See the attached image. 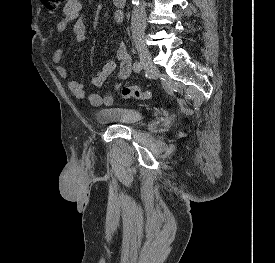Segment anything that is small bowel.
I'll return each instance as SVG.
<instances>
[{"label":"small bowel","mask_w":275,"mask_h":263,"mask_svg":"<svg viewBox=\"0 0 275 263\" xmlns=\"http://www.w3.org/2000/svg\"><path fill=\"white\" fill-rule=\"evenodd\" d=\"M123 20L121 11L116 10L113 13V21L120 24ZM71 25L72 33L78 42H83L86 38V27L82 18V4L80 0H67L63 7V17L57 24L56 30L59 34L66 31ZM63 51L58 47L53 55L52 60L57 64V73L63 79H68L69 73L67 68L61 64ZM118 66L117 77L113 82V89L118 90L122 82L127 79L132 72L131 57L128 53L126 45L120 44L116 51V60H108L96 74L91 78L90 82L94 87L103 86L107 78L115 71ZM67 85L72 94L78 99H87L94 107L111 106L113 104V95L110 92L103 94L88 93L83 84L74 79H68Z\"/></svg>","instance_id":"obj_1"}]
</instances>
